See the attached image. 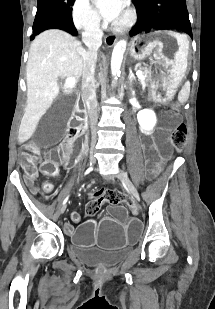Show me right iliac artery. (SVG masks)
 Wrapping results in <instances>:
<instances>
[{"mask_svg":"<svg viewBox=\"0 0 215 309\" xmlns=\"http://www.w3.org/2000/svg\"><path fill=\"white\" fill-rule=\"evenodd\" d=\"M90 171H92V168H89V169H88V172H90ZM68 198H69V196H67V197L65 198V200L63 201V205H66Z\"/></svg>","mask_w":215,"mask_h":309,"instance_id":"1","label":"right iliac artery"}]
</instances>
